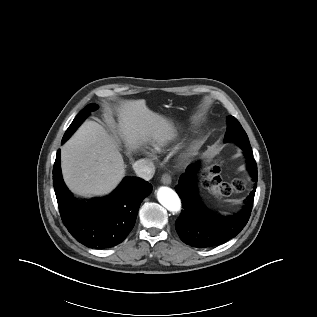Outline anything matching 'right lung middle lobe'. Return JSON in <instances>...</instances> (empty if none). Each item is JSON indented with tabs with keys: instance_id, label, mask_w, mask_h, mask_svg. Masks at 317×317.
I'll use <instances>...</instances> for the list:
<instances>
[{
	"instance_id": "right-lung-middle-lobe-1",
	"label": "right lung middle lobe",
	"mask_w": 317,
	"mask_h": 317,
	"mask_svg": "<svg viewBox=\"0 0 317 317\" xmlns=\"http://www.w3.org/2000/svg\"><path fill=\"white\" fill-rule=\"evenodd\" d=\"M98 108V105L96 104H89L87 105L83 110L79 112V114L75 117L69 128L67 129L66 133L63 136L64 140H67L74 131L78 128V126L85 120V118L88 116V114L91 111H94Z\"/></svg>"
}]
</instances>
